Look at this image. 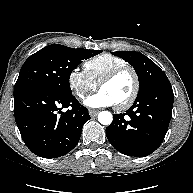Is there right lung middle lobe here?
<instances>
[{"label": "right lung middle lobe", "mask_w": 193, "mask_h": 193, "mask_svg": "<svg viewBox=\"0 0 193 193\" xmlns=\"http://www.w3.org/2000/svg\"><path fill=\"white\" fill-rule=\"evenodd\" d=\"M102 51L75 49L52 44L31 55L23 64L14 87V96L34 88H51L72 94L69 78L83 60Z\"/></svg>", "instance_id": "right-lung-middle-lobe-1"}]
</instances>
